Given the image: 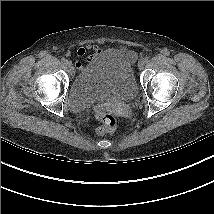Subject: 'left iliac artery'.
Segmentation results:
<instances>
[{"instance_id":"1","label":"left iliac artery","mask_w":214,"mask_h":214,"mask_svg":"<svg viewBox=\"0 0 214 214\" xmlns=\"http://www.w3.org/2000/svg\"><path fill=\"white\" fill-rule=\"evenodd\" d=\"M148 61H149V57L146 56V57L144 58V62L147 63Z\"/></svg>"}]
</instances>
